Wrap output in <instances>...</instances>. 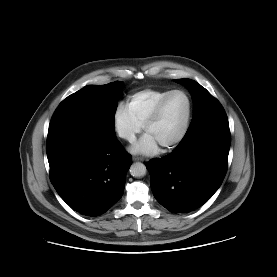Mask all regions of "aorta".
I'll return each instance as SVG.
<instances>
[{"instance_id":"1","label":"aorta","mask_w":277,"mask_h":277,"mask_svg":"<svg viewBox=\"0 0 277 277\" xmlns=\"http://www.w3.org/2000/svg\"><path fill=\"white\" fill-rule=\"evenodd\" d=\"M129 171L133 177H143L146 174L147 169L143 163L136 162L131 165Z\"/></svg>"}]
</instances>
